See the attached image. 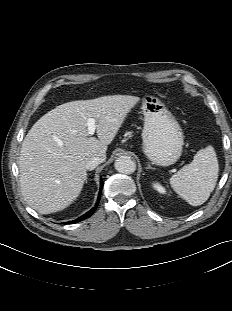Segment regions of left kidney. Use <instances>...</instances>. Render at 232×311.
Returning a JSON list of instances; mask_svg holds the SVG:
<instances>
[{
	"mask_svg": "<svg viewBox=\"0 0 232 311\" xmlns=\"http://www.w3.org/2000/svg\"><path fill=\"white\" fill-rule=\"evenodd\" d=\"M153 188L162 194H164L166 192L165 188L162 185H160L159 183H153Z\"/></svg>",
	"mask_w": 232,
	"mask_h": 311,
	"instance_id": "1",
	"label": "left kidney"
}]
</instances>
